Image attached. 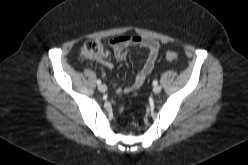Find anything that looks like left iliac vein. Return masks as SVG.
Listing matches in <instances>:
<instances>
[{
    "label": "left iliac vein",
    "instance_id": "left-iliac-vein-1",
    "mask_svg": "<svg viewBox=\"0 0 248 165\" xmlns=\"http://www.w3.org/2000/svg\"><path fill=\"white\" fill-rule=\"evenodd\" d=\"M161 90H162L161 86L155 85V86L153 87V92H154L155 94L160 93Z\"/></svg>",
    "mask_w": 248,
    "mask_h": 165
}]
</instances>
